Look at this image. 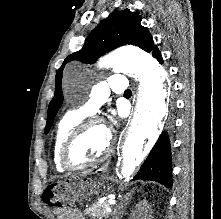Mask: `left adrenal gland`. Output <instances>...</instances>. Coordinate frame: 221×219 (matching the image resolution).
I'll use <instances>...</instances> for the list:
<instances>
[{
  "label": "left adrenal gland",
  "mask_w": 221,
  "mask_h": 219,
  "mask_svg": "<svg viewBox=\"0 0 221 219\" xmlns=\"http://www.w3.org/2000/svg\"><path fill=\"white\" fill-rule=\"evenodd\" d=\"M129 197H131V193L127 194L126 195V201L129 200ZM122 208H123V204L121 203V205L114 211V216L112 219H119V216L121 215V213L123 212L122 211ZM119 210V212H118Z\"/></svg>",
  "instance_id": "a2214340"
}]
</instances>
